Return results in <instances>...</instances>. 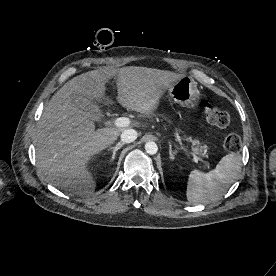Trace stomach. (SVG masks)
Returning a JSON list of instances; mask_svg holds the SVG:
<instances>
[{
	"label": "stomach",
	"instance_id": "1",
	"mask_svg": "<svg viewBox=\"0 0 276 276\" xmlns=\"http://www.w3.org/2000/svg\"><path fill=\"white\" fill-rule=\"evenodd\" d=\"M168 94L176 103L187 109H196L199 105L200 92L192 77L180 78L168 89Z\"/></svg>",
	"mask_w": 276,
	"mask_h": 276
}]
</instances>
